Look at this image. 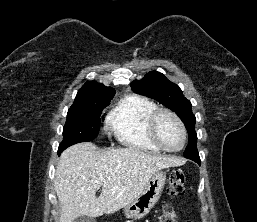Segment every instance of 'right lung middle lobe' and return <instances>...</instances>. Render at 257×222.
<instances>
[{
  "label": "right lung middle lobe",
  "instance_id": "right-lung-middle-lobe-1",
  "mask_svg": "<svg viewBox=\"0 0 257 222\" xmlns=\"http://www.w3.org/2000/svg\"><path fill=\"white\" fill-rule=\"evenodd\" d=\"M109 102L110 100L100 99L73 103L68 110L58 154L73 144L92 141L97 137L101 112Z\"/></svg>",
  "mask_w": 257,
  "mask_h": 222
}]
</instances>
